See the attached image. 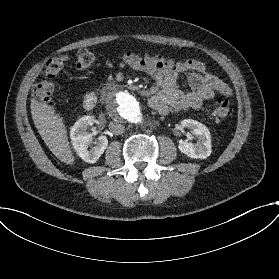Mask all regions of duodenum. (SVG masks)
Segmentation results:
<instances>
[{"mask_svg": "<svg viewBox=\"0 0 279 279\" xmlns=\"http://www.w3.org/2000/svg\"><path fill=\"white\" fill-rule=\"evenodd\" d=\"M120 88H121L120 86L110 83V84H107L103 88V92L110 93V92H114ZM97 101H98V97L94 92H90V93L86 94L84 101H83L84 109L87 111L93 110L97 105Z\"/></svg>", "mask_w": 279, "mask_h": 279, "instance_id": "obj_1", "label": "duodenum"}]
</instances>
